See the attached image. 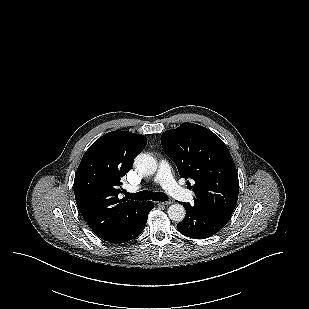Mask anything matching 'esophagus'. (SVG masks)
<instances>
[{
    "label": "esophagus",
    "instance_id": "obj_1",
    "mask_svg": "<svg viewBox=\"0 0 309 309\" xmlns=\"http://www.w3.org/2000/svg\"><path fill=\"white\" fill-rule=\"evenodd\" d=\"M173 202L172 201H165V202H160V201H156L155 204L157 206H160V205H170L172 204Z\"/></svg>",
    "mask_w": 309,
    "mask_h": 309
}]
</instances>
